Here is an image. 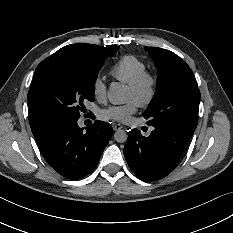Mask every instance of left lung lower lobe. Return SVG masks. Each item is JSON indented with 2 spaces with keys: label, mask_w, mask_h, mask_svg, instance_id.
<instances>
[{
  "label": "left lung lower lobe",
  "mask_w": 233,
  "mask_h": 233,
  "mask_svg": "<svg viewBox=\"0 0 233 233\" xmlns=\"http://www.w3.org/2000/svg\"><path fill=\"white\" fill-rule=\"evenodd\" d=\"M194 130L165 127L144 137L140 131L128 132L124 155L130 169L143 181L152 182L167 176L178 164Z\"/></svg>",
  "instance_id": "obj_1"
}]
</instances>
